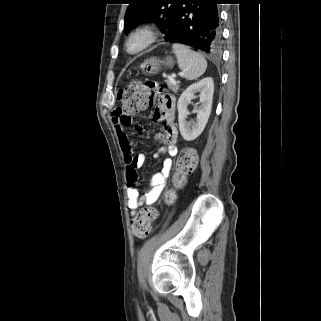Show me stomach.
I'll list each match as a JSON object with an SVG mask.
<instances>
[{
	"instance_id": "obj_1",
	"label": "stomach",
	"mask_w": 321,
	"mask_h": 321,
	"mask_svg": "<svg viewBox=\"0 0 321 321\" xmlns=\"http://www.w3.org/2000/svg\"><path fill=\"white\" fill-rule=\"evenodd\" d=\"M173 64L174 61L172 57H167L165 60H161L156 57H151L142 63L141 69L144 74L150 75L157 73L162 65L172 67Z\"/></svg>"
}]
</instances>
